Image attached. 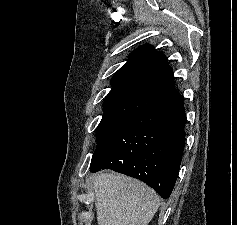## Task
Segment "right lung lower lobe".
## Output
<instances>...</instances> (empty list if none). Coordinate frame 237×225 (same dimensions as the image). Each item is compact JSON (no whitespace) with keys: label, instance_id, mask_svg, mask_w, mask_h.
I'll return each mask as SVG.
<instances>
[{"label":"right lung lower lobe","instance_id":"right-lung-lower-lobe-1","mask_svg":"<svg viewBox=\"0 0 237 225\" xmlns=\"http://www.w3.org/2000/svg\"><path fill=\"white\" fill-rule=\"evenodd\" d=\"M183 96L155 105L112 131L92 156L90 171L111 169L142 180L168 198L185 146Z\"/></svg>","mask_w":237,"mask_h":225}]
</instances>
